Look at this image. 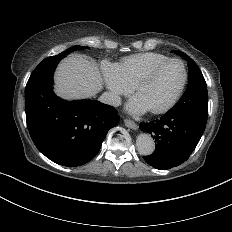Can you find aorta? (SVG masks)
<instances>
[{
    "label": "aorta",
    "instance_id": "1",
    "mask_svg": "<svg viewBox=\"0 0 232 232\" xmlns=\"http://www.w3.org/2000/svg\"><path fill=\"white\" fill-rule=\"evenodd\" d=\"M136 146L140 154L148 156L154 152L155 142L151 135L141 133L136 139Z\"/></svg>",
    "mask_w": 232,
    "mask_h": 232
}]
</instances>
